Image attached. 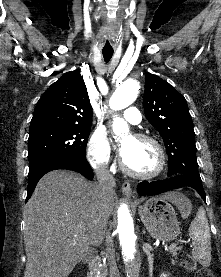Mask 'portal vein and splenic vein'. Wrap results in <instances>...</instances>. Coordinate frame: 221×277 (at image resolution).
Listing matches in <instances>:
<instances>
[{
	"label": "portal vein and splenic vein",
	"mask_w": 221,
	"mask_h": 277,
	"mask_svg": "<svg viewBox=\"0 0 221 277\" xmlns=\"http://www.w3.org/2000/svg\"><path fill=\"white\" fill-rule=\"evenodd\" d=\"M168 248H169V250H173V249H175L177 247H176L175 243H172Z\"/></svg>",
	"instance_id": "portal-vein-and-splenic-vein-1"
}]
</instances>
